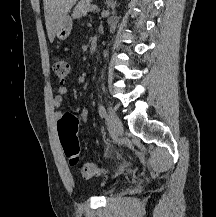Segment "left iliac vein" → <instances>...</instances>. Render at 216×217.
Here are the masks:
<instances>
[{
	"instance_id": "1",
	"label": "left iliac vein",
	"mask_w": 216,
	"mask_h": 217,
	"mask_svg": "<svg viewBox=\"0 0 216 217\" xmlns=\"http://www.w3.org/2000/svg\"><path fill=\"white\" fill-rule=\"evenodd\" d=\"M107 122L112 135L115 138L120 137L124 131L123 124L120 118L116 115V113L113 110L109 111V114L107 116Z\"/></svg>"
}]
</instances>
